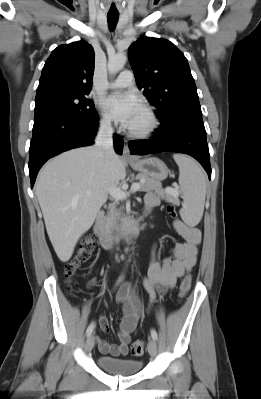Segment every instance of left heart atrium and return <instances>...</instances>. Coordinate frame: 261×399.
<instances>
[{
	"label": "left heart atrium",
	"mask_w": 261,
	"mask_h": 399,
	"mask_svg": "<svg viewBox=\"0 0 261 399\" xmlns=\"http://www.w3.org/2000/svg\"><path fill=\"white\" fill-rule=\"evenodd\" d=\"M102 107L112 119L127 128L143 111L142 103L132 93L112 94L102 101Z\"/></svg>",
	"instance_id": "left-heart-atrium-1"
}]
</instances>
